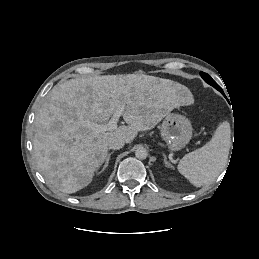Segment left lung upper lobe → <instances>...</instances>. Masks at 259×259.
<instances>
[{"label": "left lung upper lobe", "instance_id": "5c2ea615", "mask_svg": "<svg viewBox=\"0 0 259 259\" xmlns=\"http://www.w3.org/2000/svg\"><path fill=\"white\" fill-rule=\"evenodd\" d=\"M200 75L208 84L220 91L221 87L208 74L200 72Z\"/></svg>", "mask_w": 259, "mask_h": 259}]
</instances>
